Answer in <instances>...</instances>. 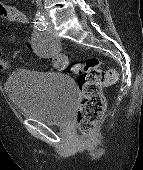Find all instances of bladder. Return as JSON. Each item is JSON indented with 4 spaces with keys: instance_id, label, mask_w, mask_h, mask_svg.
<instances>
[{
    "instance_id": "31cf9c89",
    "label": "bladder",
    "mask_w": 143,
    "mask_h": 170,
    "mask_svg": "<svg viewBox=\"0 0 143 170\" xmlns=\"http://www.w3.org/2000/svg\"><path fill=\"white\" fill-rule=\"evenodd\" d=\"M5 89L22 115L50 125L68 123L78 99L73 79L57 72L16 70Z\"/></svg>"
}]
</instances>
